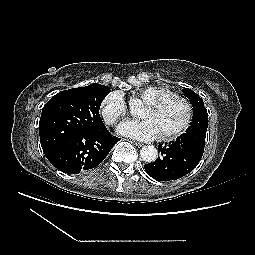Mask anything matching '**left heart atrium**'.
Instances as JSON below:
<instances>
[{
    "label": "left heart atrium",
    "mask_w": 255,
    "mask_h": 255,
    "mask_svg": "<svg viewBox=\"0 0 255 255\" xmlns=\"http://www.w3.org/2000/svg\"><path fill=\"white\" fill-rule=\"evenodd\" d=\"M119 133L141 141H151L161 136L160 129L153 119L130 120L118 126Z\"/></svg>",
    "instance_id": "obj_1"
}]
</instances>
